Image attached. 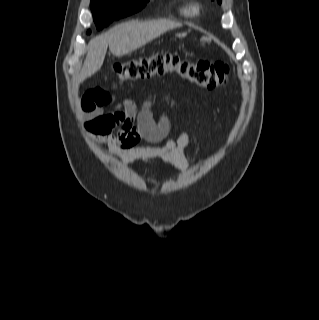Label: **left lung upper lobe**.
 <instances>
[{
  "instance_id": "5c2ea615",
  "label": "left lung upper lobe",
  "mask_w": 319,
  "mask_h": 320,
  "mask_svg": "<svg viewBox=\"0 0 319 320\" xmlns=\"http://www.w3.org/2000/svg\"><path fill=\"white\" fill-rule=\"evenodd\" d=\"M219 3H221V0H217Z\"/></svg>"
}]
</instances>
